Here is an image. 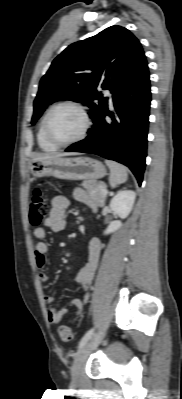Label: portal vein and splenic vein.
<instances>
[{
	"label": "portal vein and splenic vein",
	"instance_id": "portal-vein-and-splenic-vein-1",
	"mask_svg": "<svg viewBox=\"0 0 182 399\" xmlns=\"http://www.w3.org/2000/svg\"><path fill=\"white\" fill-rule=\"evenodd\" d=\"M103 193L106 195L107 194V190H105Z\"/></svg>",
	"mask_w": 182,
	"mask_h": 399
}]
</instances>
